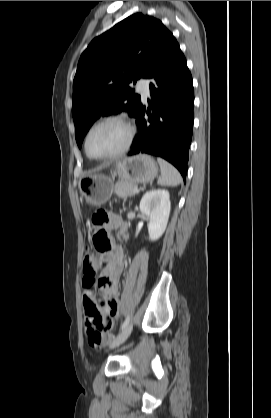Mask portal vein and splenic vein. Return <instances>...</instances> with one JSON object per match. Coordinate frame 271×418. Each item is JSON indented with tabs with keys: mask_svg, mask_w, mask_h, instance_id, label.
<instances>
[{
	"mask_svg": "<svg viewBox=\"0 0 271 418\" xmlns=\"http://www.w3.org/2000/svg\"><path fill=\"white\" fill-rule=\"evenodd\" d=\"M133 191L134 193H139L140 190L138 188H135Z\"/></svg>",
	"mask_w": 271,
	"mask_h": 418,
	"instance_id": "obj_1",
	"label": "portal vein and splenic vein"
}]
</instances>
